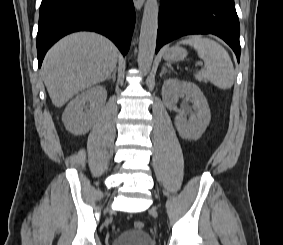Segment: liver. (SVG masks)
I'll return each instance as SVG.
<instances>
[{
	"mask_svg": "<svg viewBox=\"0 0 283 245\" xmlns=\"http://www.w3.org/2000/svg\"><path fill=\"white\" fill-rule=\"evenodd\" d=\"M118 50L102 35L79 32L47 53L42 76L52 103L60 108L74 95L106 80L116 68Z\"/></svg>",
	"mask_w": 283,
	"mask_h": 245,
	"instance_id": "obj_1",
	"label": "liver"
}]
</instances>
